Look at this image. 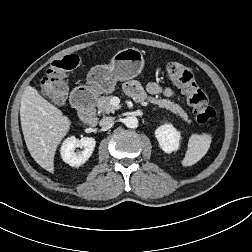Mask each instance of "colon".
Masks as SVG:
<instances>
[{"mask_svg": "<svg viewBox=\"0 0 252 252\" xmlns=\"http://www.w3.org/2000/svg\"><path fill=\"white\" fill-rule=\"evenodd\" d=\"M80 62L75 54L66 55L54 61L43 78V92L55 104L64 102L67 92V73L75 69ZM168 76L186 96V101L192 108L197 122L209 124L215 118V111L210 107L207 96L198 87L193 70L187 65L172 62L167 67Z\"/></svg>", "mask_w": 252, "mask_h": 252, "instance_id": "obj_1", "label": "colon"}]
</instances>
